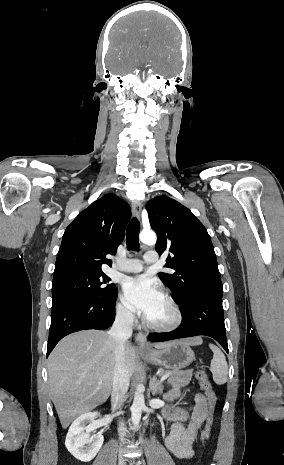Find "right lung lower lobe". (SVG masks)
I'll use <instances>...</instances> for the list:
<instances>
[{
    "label": "right lung lower lobe",
    "mask_w": 284,
    "mask_h": 465,
    "mask_svg": "<svg viewBox=\"0 0 284 465\" xmlns=\"http://www.w3.org/2000/svg\"><path fill=\"white\" fill-rule=\"evenodd\" d=\"M117 290L107 297H73L52 307L47 357L66 335L85 329L103 330L115 319Z\"/></svg>",
    "instance_id": "obj_1"
}]
</instances>
